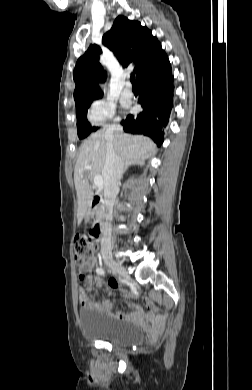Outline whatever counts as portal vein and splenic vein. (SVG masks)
Segmentation results:
<instances>
[{
  "mask_svg": "<svg viewBox=\"0 0 252 390\" xmlns=\"http://www.w3.org/2000/svg\"><path fill=\"white\" fill-rule=\"evenodd\" d=\"M85 168H86L87 170H90V169H91L90 166H86ZM94 185H95L96 187H98V188H100V187L103 185V179H102V177H101L100 175H96V176L94 177Z\"/></svg>",
  "mask_w": 252,
  "mask_h": 390,
  "instance_id": "18ae733b",
  "label": "portal vein and splenic vein"
}]
</instances>
